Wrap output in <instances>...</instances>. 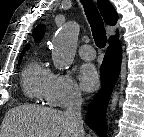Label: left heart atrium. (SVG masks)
<instances>
[{"instance_id": "39dd6f15", "label": "left heart atrium", "mask_w": 144, "mask_h": 137, "mask_svg": "<svg viewBox=\"0 0 144 137\" xmlns=\"http://www.w3.org/2000/svg\"><path fill=\"white\" fill-rule=\"evenodd\" d=\"M79 80L85 91L91 92L99 86V75L96 68L91 64H84L79 71Z\"/></svg>"}]
</instances>
